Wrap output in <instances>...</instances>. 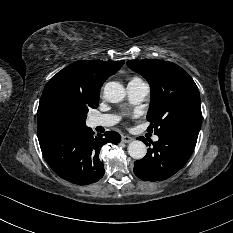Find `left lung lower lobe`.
Instances as JSON below:
<instances>
[{
	"label": "left lung lower lobe",
	"mask_w": 233,
	"mask_h": 233,
	"mask_svg": "<svg viewBox=\"0 0 233 233\" xmlns=\"http://www.w3.org/2000/svg\"><path fill=\"white\" fill-rule=\"evenodd\" d=\"M200 125L188 124L158 135L159 140L149 148L146 156L134 163V173L145 181H162L180 170L194 151ZM147 144L143 137H139ZM150 146V144H148Z\"/></svg>",
	"instance_id": "left-lung-lower-lobe-1"
}]
</instances>
